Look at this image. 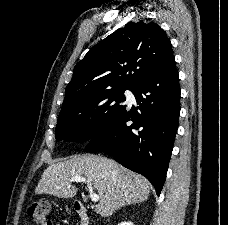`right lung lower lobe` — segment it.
I'll list each match as a JSON object with an SVG mask.
<instances>
[{
	"instance_id": "obj_1",
	"label": "right lung lower lobe",
	"mask_w": 228,
	"mask_h": 225,
	"mask_svg": "<svg viewBox=\"0 0 228 225\" xmlns=\"http://www.w3.org/2000/svg\"><path fill=\"white\" fill-rule=\"evenodd\" d=\"M138 107H126L91 138L86 152L104 151L142 174L160 195L180 113L179 77L174 55L133 88ZM128 121L134 124L128 125Z\"/></svg>"
}]
</instances>
